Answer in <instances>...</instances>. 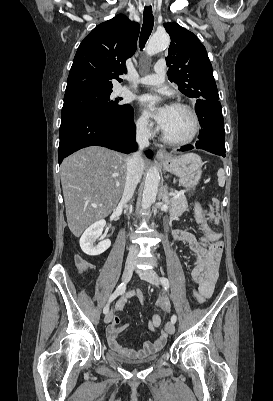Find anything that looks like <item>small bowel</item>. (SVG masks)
I'll return each mask as SVG.
<instances>
[{"instance_id": "1", "label": "small bowel", "mask_w": 273, "mask_h": 401, "mask_svg": "<svg viewBox=\"0 0 273 401\" xmlns=\"http://www.w3.org/2000/svg\"><path fill=\"white\" fill-rule=\"evenodd\" d=\"M207 221L208 218L206 215H199L197 217V222L203 224L205 229V234L200 240H197L193 234L185 232L183 228H178L174 231V234L180 237L197 257V261L191 271H203L204 275L207 276L206 284H197V300L200 303L209 298L215 289L218 280V266L223 252V244L220 241L219 234L210 228V224ZM210 222L212 224H217L219 222V217L217 215H212L210 217ZM135 294H139L137 289L133 292L132 296L134 297ZM95 297H97V302L99 304H108L110 302V297L108 295H100V292H95ZM124 307V302L118 303L116 305V311L122 312ZM163 310L168 311L169 307L164 306ZM160 324L161 316L155 314L152 320L149 321L148 327L151 331H158ZM126 330L127 326L122 324L121 317L115 314L107 328V339L110 347L123 355H136L138 357L154 355L166 344L168 338L166 332H159L157 340L146 343L143 349L137 352H129L118 340L119 336Z\"/></svg>"}]
</instances>
